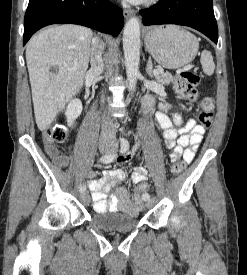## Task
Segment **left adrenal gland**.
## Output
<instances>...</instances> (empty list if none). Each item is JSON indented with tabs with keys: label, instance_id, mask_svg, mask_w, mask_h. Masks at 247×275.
<instances>
[{
	"label": "left adrenal gland",
	"instance_id": "1",
	"mask_svg": "<svg viewBox=\"0 0 247 275\" xmlns=\"http://www.w3.org/2000/svg\"><path fill=\"white\" fill-rule=\"evenodd\" d=\"M146 72L149 75V77H151V78L154 77L151 57H149V59H148V63L146 65Z\"/></svg>",
	"mask_w": 247,
	"mask_h": 275
}]
</instances>
